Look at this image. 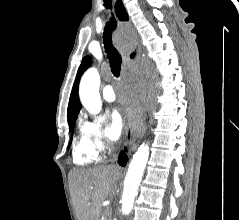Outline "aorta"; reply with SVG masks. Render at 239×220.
Segmentation results:
<instances>
[{
    "instance_id": "1",
    "label": "aorta",
    "mask_w": 239,
    "mask_h": 220,
    "mask_svg": "<svg viewBox=\"0 0 239 220\" xmlns=\"http://www.w3.org/2000/svg\"><path fill=\"white\" fill-rule=\"evenodd\" d=\"M121 40H132L131 33L122 34ZM149 71L150 70H148V72ZM99 86L100 76L97 70L94 68L89 69L80 81L79 96L83 106L92 114H97L101 110L102 103L99 94ZM148 158L149 145L143 143L133 155L124 180L121 209L125 215H129L133 209L138 187L141 183Z\"/></svg>"
}]
</instances>
